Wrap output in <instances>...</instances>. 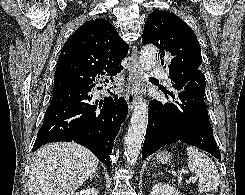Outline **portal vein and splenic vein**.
Listing matches in <instances>:
<instances>
[{
    "label": "portal vein and splenic vein",
    "mask_w": 245,
    "mask_h": 195,
    "mask_svg": "<svg viewBox=\"0 0 245 195\" xmlns=\"http://www.w3.org/2000/svg\"><path fill=\"white\" fill-rule=\"evenodd\" d=\"M197 180V177H192V181H196Z\"/></svg>",
    "instance_id": "1"
}]
</instances>
